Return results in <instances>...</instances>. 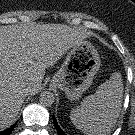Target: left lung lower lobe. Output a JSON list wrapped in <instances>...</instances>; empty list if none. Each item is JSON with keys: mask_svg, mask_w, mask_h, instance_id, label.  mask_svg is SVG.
<instances>
[{"mask_svg": "<svg viewBox=\"0 0 135 135\" xmlns=\"http://www.w3.org/2000/svg\"><path fill=\"white\" fill-rule=\"evenodd\" d=\"M53 121H54V125H55V128H56L58 134H59V135H66V134L61 130V128L59 127V125H58V123H57L55 117H53Z\"/></svg>", "mask_w": 135, "mask_h": 135, "instance_id": "left-lung-lower-lobe-1", "label": "left lung lower lobe"}]
</instances>
